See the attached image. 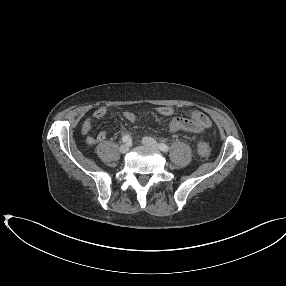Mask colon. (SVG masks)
<instances>
[{
  "mask_svg": "<svg viewBox=\"0 0 286 286\" xmlns=\"http://www.w3.org/2000/svg\"><path fill=\"white\" fill-rule=\"evenodd\" d=\"M197 151L200 156L207 157L210 153V149L207 143L205 142H199L197 146Z\"/></svg>",
  "mask_w": 286,
  "mask_h": 286,
  "instance_id": "obj_1",
  "label": "colon"
}]
</instances>
